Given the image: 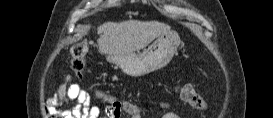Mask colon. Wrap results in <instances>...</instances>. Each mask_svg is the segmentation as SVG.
Here are the masks:
<instances>
[{"instance_id":"1","label":"colon","mask_w":273,"mask_h":118,"mask_svg":"<svg viewBox=\"0 0 273 118\" xmlns=\"http://www.w3.org/2000/svg\"><path fill=\"white\" fill-rule=\"evenodd\" d=\"M89 46H90V42L88 40H82L78 42L77 44H75L71 49V67L79 77H83L85 74V69H86L85 59H86ZM180 93L181 95H186L189 98L194 108L200 109V110L206 108V104L204 100L200 97L199 94H197L194 91V89L191 86L185 85L181 87ZM105 101L115 105L116 108L120 111L122 109L130 113H133L135 111L133 106L129 104H122L117 99L105 98ZM49 118H61V117L59 116L58 113H51L49 114Z\"/></svg>"}]
</instances>
